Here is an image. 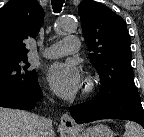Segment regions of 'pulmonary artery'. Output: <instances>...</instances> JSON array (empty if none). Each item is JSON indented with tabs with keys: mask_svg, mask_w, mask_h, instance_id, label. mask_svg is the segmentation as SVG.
<instances>
[{
	"mask_svg": "<svg viewBox=\"0 0 144 137\" xmlns=\"http://www.w3.org/2000/svg\"><path fill=\"white\" fill-rule=\"evenodd\" d=\"M80 42L77 37H65L46 48L43 55L47 58H59L77 52Z\"/></svg>",
	"mask_w": 144,
	"mask_h": 137,
	"instance_id": "1",
	"label": "pulmonary artery"
}]
</instances>
